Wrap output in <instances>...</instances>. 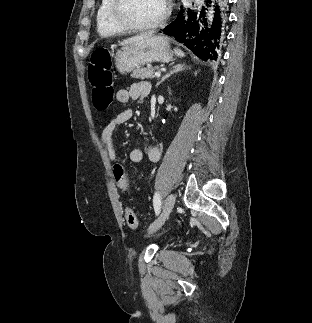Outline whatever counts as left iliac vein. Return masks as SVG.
Listing matches in <instances>:
<instances>
[{
    "label": "left iliac vein",
    "instance_id": "obj_1",
    "mask_svg": "<svg viewBox=\"0 0 312 323\" xmlns=\"http://www.w3.org/2000/svg\"><path fill=\"white\" fill-rule=\"evenodd\" d=\"M174 204H175V196L173 194H169L163 205V211L160 217L150 226V233L155 232L158 228H160L164 224L170 212L172 211Z\"/></svg>",
    "mask_w": 312,
    "mask_h": 323
}]
</instances>
